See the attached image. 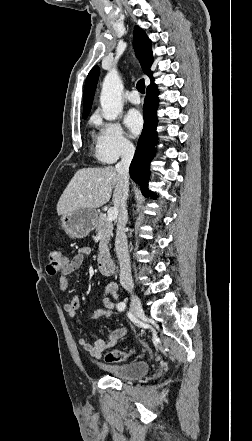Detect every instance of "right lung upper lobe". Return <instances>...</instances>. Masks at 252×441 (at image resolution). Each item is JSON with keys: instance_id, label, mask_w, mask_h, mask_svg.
Segmentation results:
<instances>
[{"instance_id": "cb5924a9", "label": "right lung upper lobe", "mask_w": 252, "mask_h": 441, "mask_svg": "<svg viewBox=\"0 0 252 441\" xmlns=\"http://www.w3.org/2000/svg\"><path fill=\"white\" fill-rule=\"evenodd\" d=\"M133 46L144 73L147 74L150 77L151 82H153L152 72L150 71V67L153 62L151 40L147 37L146 33L139 26H135L134 29ZM98 77L99 67L95 66L89 72L85 82L83 98V118L85 119L88 117L91 110Z\"/></svg>"}]
</instances>
